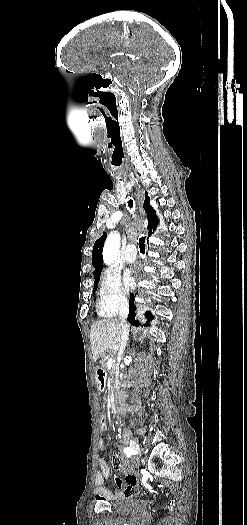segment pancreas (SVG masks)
I'll use <instances>...</instances> for the list:
<instances>
[{
    "instance_id": "1",
    "label": "pancreas",
    "mask_w": 247,
    "mask_h": 525,
    "mask_svg": "<svg viewBox=\"0 0 247 525\" xmlns=\"http://www.w3.org/2000/svg\"><path fill=\"white\" fill-rule=\"evenodd\" d=\"M101 361H102V365H106L105 358H101ZM115 369H116V365L115 363H113V366L111 367V370L109 371V373H111V377L115 375Z\"/></svg>"
}]
</instances>
